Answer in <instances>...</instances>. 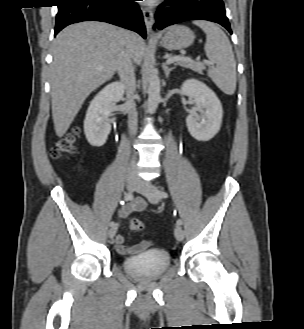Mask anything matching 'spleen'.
<instances>
[{
  "mask_svg": "<svg viewBox=\"0 0 304 329\" xmlns=\"http://www.w3.org/2000/svg\"><path fill=\"white\" fill-rule=\"evenodd\" d=\"M206 34L205 52L210 60L208 76L227 95L236 90V61L226 34L214 23L204 20L193 22Z\"/></svg>",
  "mask_w": 304,
  "mask_h": 329,
  "instance_id": "spleen-1",
  "label": "spleen"
}]
</instances>
